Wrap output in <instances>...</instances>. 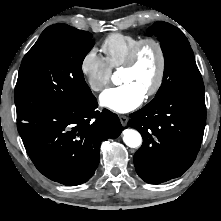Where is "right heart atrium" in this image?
Returning a JSON list of instances; mask_svg holds the SVG:
<instances>
[{"label": "right heart atrium", "mask_w": 221, "mask_h": 221, "mask_svg": "<svg viewBox=\"0 0 221 221\" xmlns=\"http://www.w3.org/2000/svg\"><path fill=\"white\" fill-rule=\"evenodd\" d=\"M80 71L88 87L94 92L103 91L111 81L112 70L96 49H90L84 54Z\"/></svg>", "instance_id": "obj_1"}]
</instances>
